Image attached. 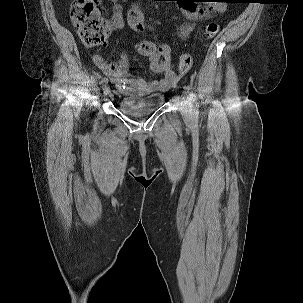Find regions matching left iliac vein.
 Instances as JSON below:
<instances>
[{"label":"left iliac vein","instance_id":"1","mask_svg":"<svg viewBox=\"0 0 303 303\" xmlns=\"http://www.w3.org/2000/svg\"><path fill=\"white\" fill-rule=\"evenodd\" d=\"M181 111L184 118L190 119L192 115V104L185 95L182 97Z\"/></svg>","mask_w":303,"mask_h":303}]
</instances>
